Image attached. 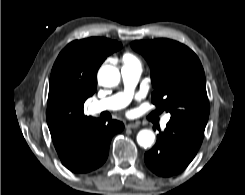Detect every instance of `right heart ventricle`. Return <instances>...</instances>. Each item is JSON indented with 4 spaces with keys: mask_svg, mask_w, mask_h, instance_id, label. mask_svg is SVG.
Instances as JSON below:
<instances>
[{
    "mask_svg": "<svg viewBox=\"0 0 245 195\" xmlns=\"http://www.w3.org/2000/svg\"><path fill=\"white\" fill-rule=\"evenodd\" d=\"M123 62H138V60L134 55L127 53L123 56Z\"/></svg>",
    "mask_w": 245,
    "mask_h": 195,
    "instance_id": "e07e8e85",
    "label": "right heart ventricle"
}]
</instances>
